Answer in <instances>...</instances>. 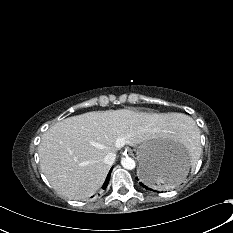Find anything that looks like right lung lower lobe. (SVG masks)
Here are the masks:
<instances>
[{
    "instance_id": "obj_1",
    "label": "right lung lower lobe",
    "mask_w": 233,
    "mask_h": 233,
    "mask_svg": "<svg viewBox=\"0 0 233 233\" xmlns=\"http://www.w3.org/2000/svg\"><path fill=\"white\" fill-rule=\"evenodd\" d=\"M112 171V169L110 170V172ZM110 175H111V173H108V175H107V178H106V180H105V182H104V184H103V186H102V189H106V187H107V185H108V182H109V180H110Z\"/></svg>"
}]
</instances>
